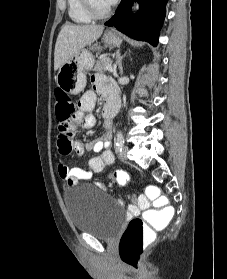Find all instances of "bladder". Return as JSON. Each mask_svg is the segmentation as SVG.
I'll return each mask as SVG.
<instances>
[{
	"mask_svg": "<svg viewBox=\"0 0 227 279\" xmlns=\"http://www.w3.org/2000/svg\"><path fill=\"white\" fill-rule=\"evenodd\" d=\"M64 202L75 230L104 240L115 239L120 234L124 224L122 206L96 186L68 188Z\"/></svg>",
	"mask_w": 227,
	"mask_h": 279,
	"instance_id": "1",
	"label": "bladder"
}]
</instances>
